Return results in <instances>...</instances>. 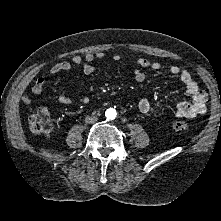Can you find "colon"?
Here are the masks:
<instances>
[{
  "mask_svg": "<svg viewBox=\"0 0 221 221\" xmlns=\"http://www.w3.org/2000/svg\"><path fill=\"white\" fill-rule=\"evenodd\" d=\"M189 122L185 119L172 123V129L177 132H187ZM29 127L31 131L38 135L48 134L53 129V123L46 109L40 108L29 116Z\"/></svg>",
  "mask_w": 221,
  "mask_h": 221,
  "instance_id": "colon-1",
  "label": "colon"
}]
</instances>
